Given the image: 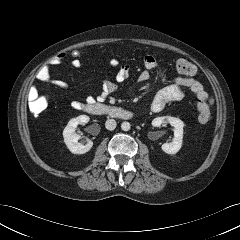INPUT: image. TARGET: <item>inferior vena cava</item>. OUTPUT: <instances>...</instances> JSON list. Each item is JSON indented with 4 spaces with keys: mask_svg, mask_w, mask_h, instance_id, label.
Wrapping results in <instances>:
<instances>
[{
    "mask_svg": "<svg viewBox=\"0 0 240 240\" xmlns=\"http://www.w3.org/2000/svg\"><path fill=\"white\" fill-rule=\"evenodd\" d=\"M116 121L114 119H108L105 123V127L107 130H114L116 128Z\"/></svg>",
    "mask_w": 240,
    "mask_h": 240,
    "instance_id": "602c4592",
    "label": "inferior vena cava"
}]
</instances>
